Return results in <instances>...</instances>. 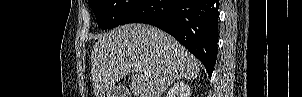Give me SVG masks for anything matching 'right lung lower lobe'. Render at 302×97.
Masks as SVG:
<instances>
[{
    "label": "right lung lower lobe",
    "instance_id": "right-lung-lower-lobe-1",
    "mask_svg": "<svg viewBox=\"0 0 302 97\" xmlns=\"http://www.w3.org/2000/svg\"><path fill=\"white\" fill-rule=\"evenodd\" d=\"M219 0H143L121 25L146 23L175 37L211 77L217 57Z\"/></svg>",
    "mask_w": 302,
    "mask_h": 97
}]
</instances>
